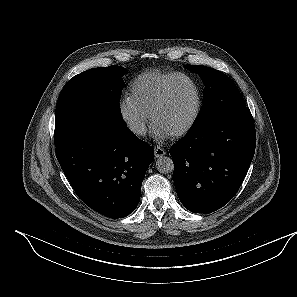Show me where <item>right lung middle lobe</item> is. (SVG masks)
<instances>
[{
  "label": "right lung middle lobe",
  "mask_w": 297,
  "mask_h": 297,
  "mask_svg": "<svg viewBox=\"0 0 297 297\" xmlns=\"http://www.w3.org/2000/svg\"><path fill=\"white\" fill-rule=\"evenodd\" d=\"M125 72L120 66L93 68L65 84L56 105L55 146L62 144L78 124L90 117L122 119L119 97Z\"/></svg>",
  "instance_id": "right-lung-middle-lobe-1"
}]
</instances>
